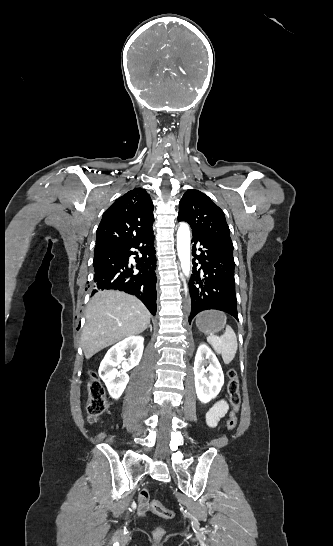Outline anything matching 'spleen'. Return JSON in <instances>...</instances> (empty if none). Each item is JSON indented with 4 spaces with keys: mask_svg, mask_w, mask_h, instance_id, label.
I'll list each match as a JSON object with an SVG mask.
<instances>
[{
    "mask_svg": "<svg viewBox=\"0 0 333 546\" xmlns=\"http://www.w3.org/2000/svg\"><path fill=\"white\" fill-rule=\"evenodd\" d=\"M226 318L224 313H221ZM207 342L213 347L216 353L221 354L225 364H230L236 355L238 349L237 337L230 326H226L225 332L221 336L209 334Z\"/></svg>",
    "mask_w": 333,
    "mask_h": 546,
    "instance_id": "obj_1",
    "label": "spleen"
}]
</instances>
